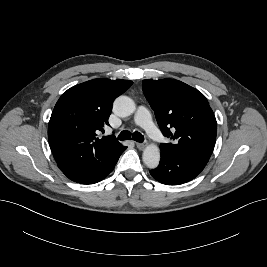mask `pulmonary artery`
<instances>
[{
  "label": "pulmonary artery",
  "mask_w": 267,
  "mask_h": 267,
  "mask_svg": "<svg viewBox=\"0 0 267 267\" xmlns=\"http://www.w3.org/2000/svg\"><path fill=\"white\" fill-rule=\"evenodd\" d=\"M135 123L143 127L154 140H161L162 136L155 126L147 108L140 106L135 114Z\"/></svg>",
  "instance_id": "1"
}]
</instances>
